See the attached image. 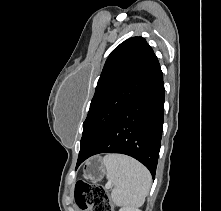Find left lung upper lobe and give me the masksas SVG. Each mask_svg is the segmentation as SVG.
Listing matches in <instances>:
<instances>
[{
	"label": "left lung upper lobe",
	"instance_id": "obj_1",
	"mask_svg": "<svg viewBox=\"0 0 221 211\" xmlns=\"http://www.w3.org/2000/svg\"><path fill=\"white\" fill-rule=\"evenodd\" d=\"M157 61L142 37L129 38L111 52L83 123L78 160L94 147L136 96Z\"/></svg>",
	"mask_w": 221,
	"mask_h": 211
}]
</instances>
